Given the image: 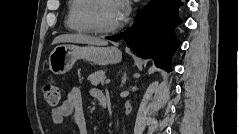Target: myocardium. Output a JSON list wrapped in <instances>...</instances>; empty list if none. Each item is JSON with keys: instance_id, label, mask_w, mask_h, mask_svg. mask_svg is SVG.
Returning <instances> with one entry per match:
<instances>
[{"instance_id": "f54148a6", "label": "myocardium", "mask_w": 239, "mask_h": 134, "mask_svg": "<svg viewBox=\"0 0 239 134\" xmlns=\"http://www.w3.org/2000/svg\"><path fill=\"white\" fill-rule=\"evenodd\" d=\"M103 0H90L85 11V20L90 29L98 34H107L116 31L120 27V23L112 27H102L96 20V9L98 4Z\"/></svg>"}]
</instances>
